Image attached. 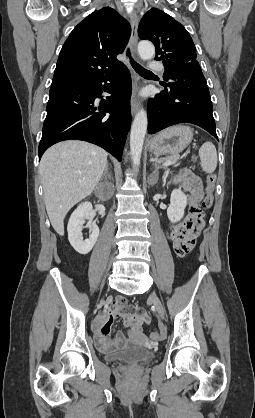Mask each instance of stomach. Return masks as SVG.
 I'll return each instance as SVG.
<instances>
[{"instance_id":"obj_1","label":"stomach","mask_w":255,"mask_h":418,"mask_svg":"<svg viewBox=\"0 0 255 418\" xmlns=\"http://www.w3.org/2000/svg\"><path fill=\"white\" fill-rule=\"evenodd\" d=\"M193 139V129L186 125H176L155 135L149 142V152L155 156L177 155Z\"/></svg>"}]
</instances>
